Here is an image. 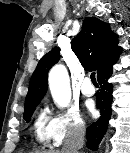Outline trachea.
Listing matches in <instances>:
<instances>
[{"label": "trachea", "mask_w": 130, "mask_h": 153, "mask_svg": "<svg viewBox=\"0 0 130 153\" xmlns=\"http://www.w3.org/2000/svg\"><path fill=\"white\" fill-rule=\"evenodd\" d=\"M90 77H91L92 83H93L94 85H97V81H96V77H95V72H92Z\"/></svg>", "instance_id": "1"}]
</instances>
